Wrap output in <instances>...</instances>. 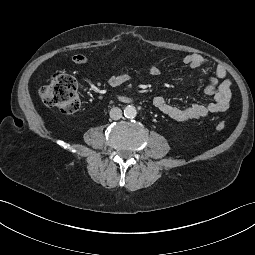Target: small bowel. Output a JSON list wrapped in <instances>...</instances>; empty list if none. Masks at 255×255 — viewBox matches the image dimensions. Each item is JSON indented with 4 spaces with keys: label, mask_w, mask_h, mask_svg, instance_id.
I'll list each match as a JSON object with an SVG mask.
<instances>
[{
    "label": "small bowel",
    "mask_w": 255,
    "mask_h": 255,
    "mask_svg": "<svg viewBox=\"0 0 255 255\" xmlns=\"http://www.w3.org/2000/svg\"><path fill=\"white\" fill-rule=\"evenodd\" d=\"M71 60L76 64H84L88 61V57L84 54H77ZM182 61L191 69H200L208 65L201 55L195 53L186 54ZM122 62V59L115 60L113 67L120 65ZM147 74L156 77L160 74V69L155 65H150ZM131 79V74L122 73L111 76L107 80V85L114 88L129 82ZM205 93L212 96V101L187 107H177L170 104L163 96L157 95L153 98L152 104L157 110L176 121L199 119L209 114L227 110L231 99V82L227 79V71L222 65L215 66L214 76L210 78L206 85Z\"/></svg>",
    "instance_id": "1"
}]
</instances>
